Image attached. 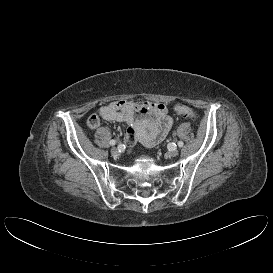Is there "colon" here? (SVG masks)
Masks as SVG:
<instances>
[{
    "instance_id": "1",
    "label": "colon",
    "mask_w": 273,
    "mask_h": 273,
    "mask_svg": "<svg viewBox=\"0 0 273 273\" xmlns=\"http://www.w3.org/2000/svg\"><path fill=\"white\" fill-rule=\"evenodd\" d=\"M175 112L187 119H195L196 118V112L194 111V109H192L191 107L187 106V105H177L175 107Z\"/></svg>"
}]
</instances>
